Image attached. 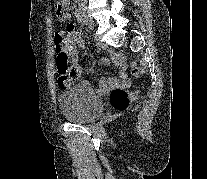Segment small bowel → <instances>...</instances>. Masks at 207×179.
Instances as JSON below:
<instances>
[{"mask_svg":"<svg viewBox=\"0 0 207 179\" xmlns=\"http://www.w3.org/2000/svg\"><path fill=\"white\" fill-rule=\"evenodd\" d=\"M71 14L66 13L62 19L67 21L70 20ZM55 40H62L67 46V54L73 64L78 63L77 59V48L82 49L86 45L85 39L81 36L80 32L75 28L73 24L68 26L67 30H59L55 33ZM113 62L119 70V79H106L102 77L99 81L98 91L101 94L109 92L111 89L122 86L127 87L130 85V79L127 73V64L125 62V57L122 53H115L113 57ZM69 83L63 84L67 87Z\"/></svg>","mask_w":207,"mask_h":179,"instance_id":"obj_1","label":"small bowel"}]
</instances>
